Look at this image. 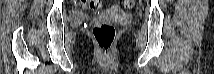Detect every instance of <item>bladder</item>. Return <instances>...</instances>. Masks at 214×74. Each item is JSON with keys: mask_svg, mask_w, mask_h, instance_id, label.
Returning a JSON list of instances; mask_svg holds the SVG:
<instances>
[{"mask_svg": "<svg viewBox=\"0 0 214 74\" xmlns=\"http://www.w3.org/2000/svg\"><path fill=\"white\" fill-rule=\"evenodd\" d=\"M83 18H84V14L82 12L77 11L72 14V20L74 21L81 20Z\"/></svg>", "mask_w": 214, "mask_h": 74, "instance_id": "31cf9c89", "label": "bladder"}]
</instances>
